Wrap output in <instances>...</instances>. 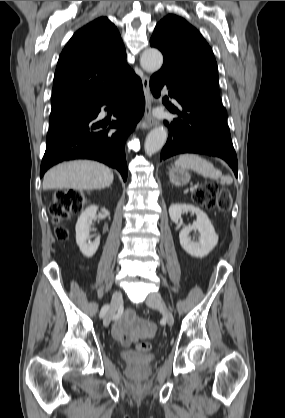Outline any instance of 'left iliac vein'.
I'll return each instance as SVG.
<instances>
[{
  "label": "left iliac vein",
  "mask_w": 285,
  "mask_h": 418,
  "mask_svg": "<svg viewBox=\"0 0 285 418\" xmlns=\"http://www.w3.org/2000/svg\"><path fill=\"white\" fill-rule=\"evenodd\" d=\"M146 304L152 308L160 310L167 325L172 326L174 324V318L171 310L166 306L164 300L159 293H152L148 296Z\"/></svg>",
  "instance_id": "4c4485c4"
}]
</instances>
